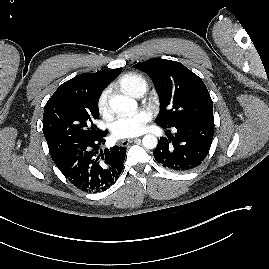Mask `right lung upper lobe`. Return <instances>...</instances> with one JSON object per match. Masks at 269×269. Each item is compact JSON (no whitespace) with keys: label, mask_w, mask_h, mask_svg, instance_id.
I'll use <instances>...</instances> for the list:
<instances>
[{"label":"right lung upper lobe","mask_w":269,"mask_h":269,"mask_svg":"<svg viewBox=\"0 0 269 269\" xmlns=\"http://www.w3.org/2000/svg\"><path fill=\"white\" fill-rule=\"evenodd\" d=\"M122 71L117 68L90 74H80L58 87L47 103L76 99H99L102 90Z\"/></svg>","instance_id":"1"}]
</instances>
